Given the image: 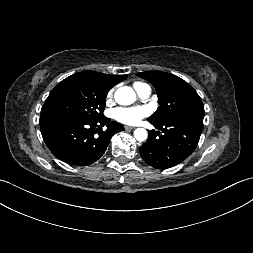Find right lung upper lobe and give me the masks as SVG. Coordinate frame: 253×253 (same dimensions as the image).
<instances>
[{"mask_svg": "<svg viewBox=\"0 0 253 253\" xmlns=\"http://www.w3.org/2000/svg\"><path fill=\"white\" fill-rule=\"evenodd\" d=\"M86 72L96 77L98 80H100L103 84H105L110 89L117 83L127 78V75H108V74H103V73H99L95 71H86Z\"/></svg>", "mask_w": 253, "mask_h": 253, "instance_id": "1", "label": "right lung upper lobe"}]
</instances>
